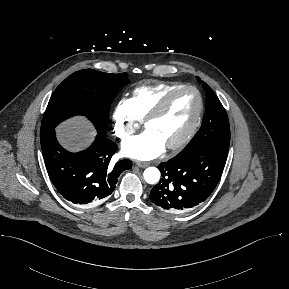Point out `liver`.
Masks as SVG:
<instances>
[{"label":"liver","instance_id":"1","mask_svg":"<svg viewBox=\"0 0 289 289\" xmlns=\"http://www.w3.org/2000/svg\"><path fill=\"white\" fill-rule=\"evenodd\" d=\"M57 135L61 144L70 150L86 147L93 139L95 131L83 117H75L63 122L57 128Z\"/></svg>","mask_w":289,"mask_h":289}]
</instances>
